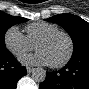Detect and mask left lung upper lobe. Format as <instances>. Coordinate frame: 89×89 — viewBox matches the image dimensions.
<instances>
[{"label": "left lung upper lobe", "mask_w": 89, "mask_h": 89, "mask_svg": "<svg viewBox=\"0 0 89 89\" xmlns=\"http://www.w3.org/2000/svg\"><path fill=\"white\" fill-rule=\"evenodd\" d=\"M47 21L59 24L70 35L74 51L72 57L89 52V23L72 14H60L48 18Z\"/></svg>", "instance_id": "obj_1"}]
</instances>
